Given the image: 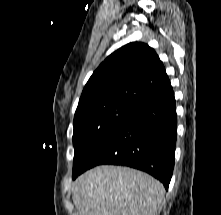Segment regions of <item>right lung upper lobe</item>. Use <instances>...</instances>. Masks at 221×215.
Wrapping results in <instances>:
<instances>
[{"label": "right lung upper lobe", "mask_w": 221, "mask_h": 215, "mask_svg": "<svg viewBox=\"0 0 221 215\" xmlns=\"http://www.w3.org/2000/svg\"><path fill=\"white\" fill-rule=\"evenodd\" d=\"M169 86L164 65L154 49L133 42L100 64L86 83L78 106L110 100L136 105Z\"/></svg>", "instance_id": "1"}]
</instances>
